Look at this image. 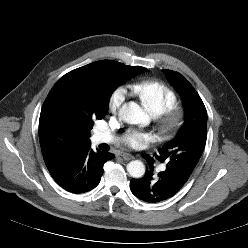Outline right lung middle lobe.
<instances>
[{"label":"right lung middle lobe","mask_w":248,"mask_h":248,"mask_svg":"<svg viewBox=\"0 0 248 248\" xmlns=\"http://www.w3.org/2000/svg\"><path fill=\"white\" fill-rule=\"evenodd\" d=\"M147 69L119 62L100 61L71 71L61 77L54 87L49 107L57 115L79 122L89 133L95 119H102L114 89L124 81Z\"/></svg>","instance_id":"dd1d6c3e"}]
</instances>
